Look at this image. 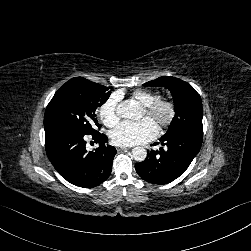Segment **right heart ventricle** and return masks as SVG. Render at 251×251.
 I'll use <instances>...</instances> for the list:
<instances>
[{
	"instance_id": "right-heart-ventricle-1",
	"label": "right heart ventricle",
	"mask_w": 251,
	"mask_h": 251,
	"mask_svg": "<svg viewBox=\"0 0 251 251\" xmlns=\"http://www.w3.org/2000/svg\"><path fill=\"white\" fill-rule=\"evenodd\" d=\"M160 98L159 92L147 89H138L131 94V99L140 106H149Z\"/></svg>"
}]
</instances>
